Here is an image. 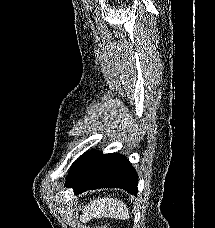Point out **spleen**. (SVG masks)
<instances>
[{"mask_svg":"<svg viewBox=\"0 0 215 228\" xmlns=\"http://www.w3.org/2000/svg\"><path fill=\"white\" fill-rule=\"evenodd\" d=\"M85 218H116V220H129V208L126 204H121L120 200L113 198H102V200H94L88 208H86Z\"/></svg>","mask_w":215,"mask_h":228,"instance_id":"3e777b00","label":"spleen"}]
</instances>
